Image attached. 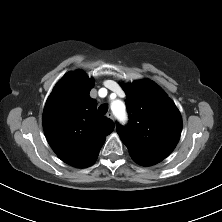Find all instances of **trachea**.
<instances>
[{
	"mask_svg": "<svg viewBox=\"0 0 222 222\" xmlns=\"http://www.w3.org/2000/svg\"><path fill=\"white\" fill-rule=\"evenodd\" d=\"M108 111V105L107 104H101L98 108V112L102 115L106 114Z\"/></svg>",
	"mask_w": 222,
	"mask_h": 222,
	"instance_id": "1",
	"label": "trachea"
}]
</instances>
